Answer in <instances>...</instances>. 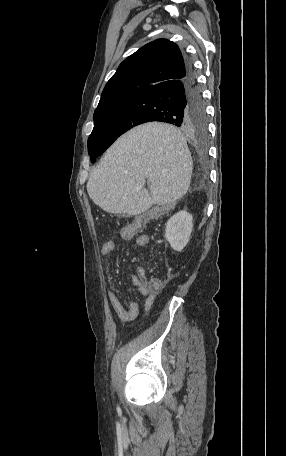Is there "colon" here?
<instances>
[{
	"label": "colon",
	"mask_w": 286,
	"mask_h": 456,
	"mask_svg": "<svg viewBox=\"0 0 286 456\" xmlns=\"http://www.w3.org/2000/svg\"><path fill=\"white\" fill-rule=\"evenodd\" d=\"M144 225H145V221L139 219V220L133 222L132 224H130L129 226L125 227L123 229V231L125 234L132 236V235L140 232L144 228ZM136 275L139 279L145 280V273L143 270L138 271ZM147 284L153 291H158L161 289L163 281L160 278L152 277L149 279Z\"/></svg>",
	"instance_id": "colon-1"
}]
</instances>
